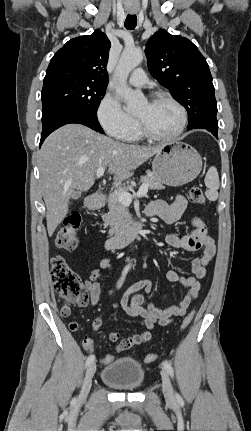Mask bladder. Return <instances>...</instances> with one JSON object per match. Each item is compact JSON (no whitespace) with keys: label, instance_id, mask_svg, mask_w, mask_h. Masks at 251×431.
<instances>
[{"label":"bladder","instance_id":"obj_1","mask_svg":"<svg viewBox=\"0 0 251 431\" xmlns=\"http://www.w3.org/2000/svg\"><path fill=\"white\" fill-rule=\"evenodd\" d=\"M145 371L142 365L129 358H121L106 365L101 372V380L108 386L123 390L134 391L144 381Z\"/></svg>","mask_w":251,"mask_h":431}]
</instances>
